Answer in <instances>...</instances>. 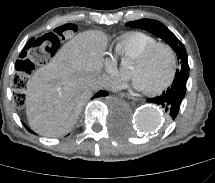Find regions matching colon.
Wrapping results in <instances>:
<instances>
[{"instance_id": "colon-1", "label": "colon", "mask_w": 215, "mask_h": 183, "mask_svg": "<svg viewBox=\"0 0 215 183\" xmlns=\"http://www.w3.org/2000/svg\"><path fill=\"white\" fill-rule=\"evenodd\" d=\"M74 34L75 26L65 23L57 26L53 33H42L27 43L18 63V73L13 79V86L16 90L15 99L18 103L23 102L24 95L21 90L25 89L28 77L35 66L50 60L56 54L61 41L70 39Z\"/></svg>"}]
</instances>
